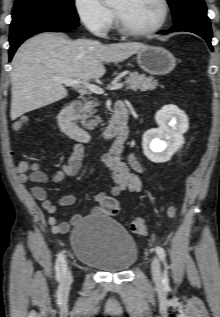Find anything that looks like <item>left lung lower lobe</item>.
<instances>
[{
	"label": "left lung lower lobe",
	"instance_id": "left-lung-lower-lobe-1",
	"mask_svg": "<svg viewBox=\"0 0 220 317\" xmlns=\"http://www.w3.org/2000/svg\"><path fill=\"white\" fill-rule=\"evenodd\" d=\"M176 31H187L201 36L207 41L210 49L213 51V46L211 45V25L206 12L190 13L183 20H181L178 23H175V25L170 30L163 33H170Z\"/></svg>",
	"mask_w": 220,
	"mask_h": 317
}]
</instances>
